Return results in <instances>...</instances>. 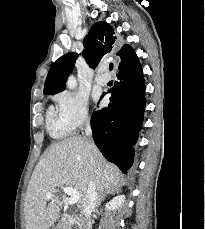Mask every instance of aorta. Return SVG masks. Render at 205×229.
<instances>
[{
    "instance_id": "obj_1",
    "label": "aorta",
    "mask_w": 205,
    "mask_h": 229,
    "mask_svg": "<svg viewBox=\"0 0 205 229\" xmlns=\"http://www.w3.org/2000/svg\"><path fill=\"white\" fill-rule=\"evenodd\" d=\"M66 85H67V88H69V89H71V90L75 89L76 86H77V81H76L75 77L70 76V77L68 78V80H67Z\"/></svg>"
}]
</instances>
